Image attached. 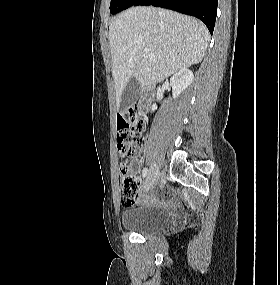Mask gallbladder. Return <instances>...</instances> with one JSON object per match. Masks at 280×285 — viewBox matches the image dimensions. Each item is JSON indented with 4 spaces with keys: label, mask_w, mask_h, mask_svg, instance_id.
I'll list each match as a JSON object with an SVG mask.
<instances>
[{
    "label": "gallbladder",
    "mask_w": 280,
    "mask_h": 285,
    "mask_svg": "<svg viewBox=\"0 0 280 285\" xmlns=\"http://www.w3.org/2000/svg\"><path fill=\"white\" fill-rule=\"evenodd\" d=\"M140 84L136 78H130L126 84L120 102V111L123 112L132 106L138 97Z\"/></svg>",
    "instance_id": "bac80fb5"
}]
</instances>
